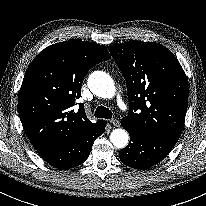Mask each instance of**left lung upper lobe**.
Instances as JSON below:
<instances>
[{
    "mask_svg": "<svg viewBox=\"0 0 206 206\" xmlns=\"http://www.w3.org/2000/svg\"><path fill=\"white\" fill-rule=\"evenodd\" d=\"M128 91V127L177 141L188 107L185 72L173 53L156 42L128 41L108 47Z\"/></svg>",
    "mask_w": 206,
    "mask_h": 206,
    "instance_id": "5c2ea615",
    "label": "left lung upper lobe"
}]
</instances>
